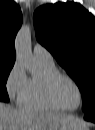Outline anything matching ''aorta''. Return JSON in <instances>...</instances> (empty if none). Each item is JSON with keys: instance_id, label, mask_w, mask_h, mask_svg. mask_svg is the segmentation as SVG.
Masks as SVG:
<instances>
[{"instance_id": "aorta-1", "label": "aorta", "mask_w": 95, "mask_h": 130, "mask_svg": "<svg viewBox=\"0 0 95 130\" xmlns=\"http://www.w3.org/2000/svg\"><path fill=\"white\" fill-rule=\"evenodd\" d=\"M15 51L17 60L23 63L29 72L33 73L35 62L32 55L30 26H23L19 30L15 40Z\"/></svg>"}]
</instances>
